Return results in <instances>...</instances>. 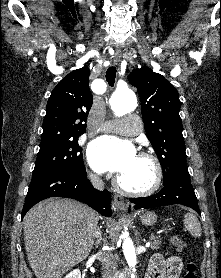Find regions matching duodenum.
<instances>
[{"label": "duodenum", "instance_id": "obj_1", "mask_svg": "<svg viewBox=\"0 0 221 278\" xmlns=\"http://www.w3.org/2000/svg\"><path fill=\"white\" fill-rule=\"evenodd\" d=\"M119 278H128V273H125L124 275H122V277Z\"/></svg>", "mask_w": 221, "mask_h": 278}]
</instances>
